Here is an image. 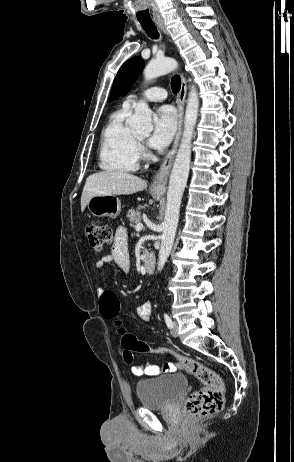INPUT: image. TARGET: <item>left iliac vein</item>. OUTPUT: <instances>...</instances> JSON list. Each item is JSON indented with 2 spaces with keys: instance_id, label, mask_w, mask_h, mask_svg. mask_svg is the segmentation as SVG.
<instances>
[{
  "instance_id": "obj_1",
  "label": "left iliac vein",
  "mask_w": 294,
  "mask_h": 462,
  "mask_svg": "<svg viewBox=\"0 0 294 462\" xmlns=\"http://www.w3.org/2000/svg\"><path fill=\"white\" fill-rule=\"evenodd\" d=\"M178 329H179L178 323H177V322H174L173 327H172V329H171V335H172L173 337H177V336H178Z\"/></svg>"
}]
</instances>
